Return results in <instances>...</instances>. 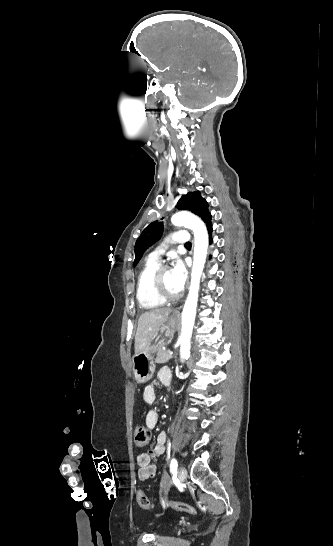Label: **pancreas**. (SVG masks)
I'll return each instance as SVG.
<instances>
[{
	"instance_id": "obj_1",
	"label": "pancreas",
	"mask_w": 333,
	"mask_h": 546,
	"mask_svg": "<svg viewBox=\"0 0 333 546\" xmlns=\"http://www.w3.org/2000/svg\"><path fill=\"white\" fill-rule=\"evenodd\" d=\"M171 358H172V355H169L168 350H159L155 358V362L159 364H163L168 362Z\"/></svg>"
}]
</instances>
